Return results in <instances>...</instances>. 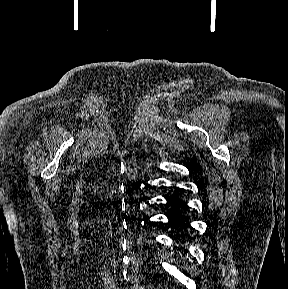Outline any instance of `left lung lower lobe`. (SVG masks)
<instances>
[{
	"label": "left lung lower lobe",
	"mask_w": 288,
	"mask_h": 289,
	"mask_svg": "<svg viewBox=\"0 0 288 289\" xmlns=\"http://www.w3.org/2000/svg\"><path fill=\"white\" fill-rule=\"evenodd\" d=\"M176 190V189H175ZM170 209L171 224L177 231H182L187 227L185 224V217L183 215L184 205L182 204L178 195L173 194L167 197Z\"/></svg>",
	"instance_id": "left-lung-lower-lobe-1"
}]
</instances>
